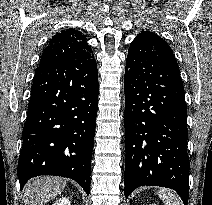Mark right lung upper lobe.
<instances>
[{
	"mask_svg": "<svg viewBox=\"0 0 212 205\" xmlns=\"http://www.w3.org/2000/svg\"><path fill=\"white\" fill-rule=\"evenodd\" d=\"M69 58L81 60L94 58L86 36L75 29L55 34L43 50L39 64Z\"/></svg>",
	"mask_w": 212,
	"mask_h": 205,
	"instance_id": "1",
	"label": "right lung upper lobe"
}]
</instances>
